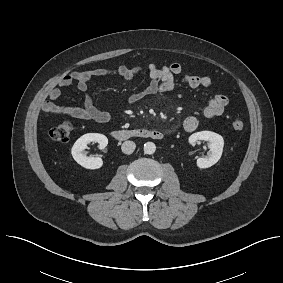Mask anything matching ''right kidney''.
<instances>
[{"instance_id": "obj_1", "label": "right kidney", "mask_w": 283, "mask_h": 283, "mask_svg": "<svg viewBox=\"0 0 283 283\" xmlns=\"http://www.w3.org/2000/svg\"><path fill=\"white\" fill-rule=\"evenodd\" d=\"M90 142L99 143V148L104 149L108 144V139L103 134L87 133L77 139L71 149V154L74 160L82 167L86 169H99L103 165V160L100 157L86 156L84 151Z\"/></svg>"}]
</instances>
